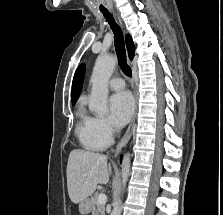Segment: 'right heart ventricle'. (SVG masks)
Here are the masks:
<instances>
[{
  "label": "right heart ventricle",
  "instance_id": "e07e8e85",
  "mask_svg": "<svg viewBox=\"0 0 223 215\" xmlns=\"http://www.w3.org/2000/svg\"><path fill=\"white\" fill-rule=\"evenodd\" d=\"M93 117L81 106L77 111L76 135L81 144L88 150L101 151L107 146L94 128Z\"/></svg>",
  "mask_w": 223,
  "mask_h": 215
}]
</instances>
